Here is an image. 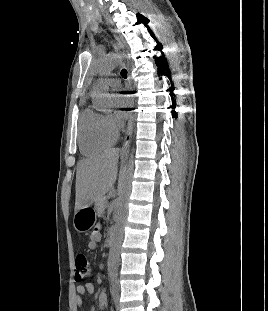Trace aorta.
I'll use <instances>...</instances> for the list:
<instances>
[{"label": "aorta", "mask_w": 268, "mask_h": 311, "mask_svg": "<svg viewBox=\"0 0 268 311\" xmlns=\"http://www.w3.org/2000/svg\"><path fill=\"white\" fill-rule=\"evenodd\" d=\"M121 58L117 55L110 56L103 59L95 66V71L98 74L104 75L109 74L116 70L120 65ZM98 104L107 105L109 102V96L104 88L99 85L96 87ZM133 156L131 155L130 160L122 173L119 184H118V199L117 206L115 210V226L112 234V243L110 246L109 257H108V271L112 277L117 276V270L119 265V252L121 248V243L123 240L124 226L128 211L129 196L132 187V177H133Z\"/></svg>", "instance_id": "1"}]
</instances>
